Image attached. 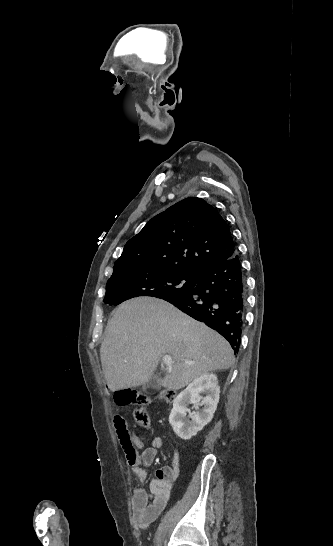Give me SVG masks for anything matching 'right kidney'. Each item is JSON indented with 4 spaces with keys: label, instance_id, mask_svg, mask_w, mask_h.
Returning <instances> with one entry per match:
<instances>
[{
    "label": "right kidney",
    "instance_id": "right-kidney-1",
    "mask_svg": "<svg viewBox=\"0 0 333 546\" xmlns=\"http://www.w3.org/2000/svg\"><path fill=\"white\" fill-rule=\"evenodd\" d=\"M204 393L205 396L200 394ZM220 388L217 376L213 373H205L194 379L173 401V408L169 416V422L175 434L188 440L203 429L213 418V414L219 402ZM203 405L199 411L188 408L189 405ZM189 412V419L186 418Z\"/></svg>",
    "mask_w": 333,
    "mask_h": 546
}]
</instances>
